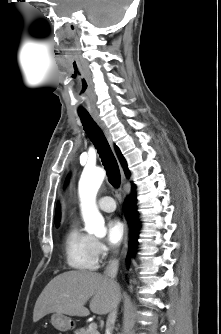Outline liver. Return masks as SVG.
<instances>
[{
	"mask_svg": "<svg viewBox=\"0 0 221 334\" xmlns=\"http://www.w3.org/2000/svg\"><path fill=\"white\" fill-rule=\"evenodd\" d=\"M119 285L104 275L88 271H67L54 277L39 295L33 312L37 322L49 313L69 316H88L85 307L90 299V311L105 315L112 309Z\"/></svg>",
	"mask_w": 221,
	"mask_h": 334,
	"instance_id": "liver-1",
	"label": "liver"
}]
</instances>
